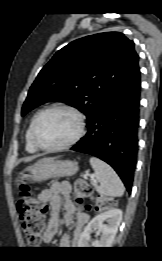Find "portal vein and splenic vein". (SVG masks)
Masks as SVG:
<instances>
[{
    "mask_svg": "<svg viewBox=\"0 0 162 261\" xmlns=\"http://www.w3.org/2000/svg\"><path fill=\"white\" fill-rule=\"evenodd\" d=\"M90 177H91V179H92V182H93L94 184H96L97 182H96V180H94V175H90Z\"/></svg>",
    "mask_w": 162,
    "mask_h": 261,
    "instance_id": "obj_1",
    "label": "portal vein and splenic vein"
}]
</instances>
